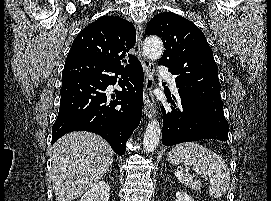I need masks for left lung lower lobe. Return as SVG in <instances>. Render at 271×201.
I'll return each instance as SVG.
<instances>
[{
	"mask_svg": "<svg viewBox=\"0 0 271 201\" xmlns=\"http://www.w3.org/2000/svg\"><path fill=\"white\" fill-rule=\"evenodd\" d=\"M171 103V110L162 107L163 131L162 142L164 145H174L187 141L203 139H217L226 141L225 138L212 134L207 128L201 115V110L181 95L167 96Z\"/></svg>",
	"mask_w": 271,
	"mask_h": 201,
	"instance_id": "left-lung-lower-lobe-1",
	"label": "left lung lower lobe"
}]
</instances>
